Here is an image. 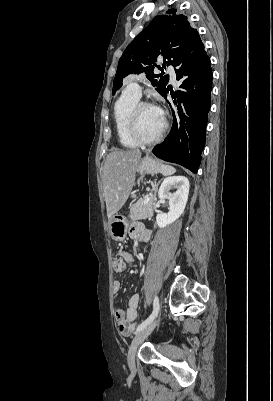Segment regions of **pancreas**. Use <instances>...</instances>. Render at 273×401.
<instances>
[{
	"instance_id": "obj_1",
	"label": "pancreas",
	"mask_w": 273,
	"mask_h": 401,
	"mask_svg": "<svg viewBox=\"0 0 273 401\" xmlns=\"http://www.w3.org/2000/svg\"><path fill=\"white\" fill-rule=\"evenodd\" d=\"M154 194L150 196V202L147 205H144L145 198H139V201L133 205L130 209L129 219L136 223V221H140V219H151L153 217V203H154Z\"/></svg>"
}]
</instances>
